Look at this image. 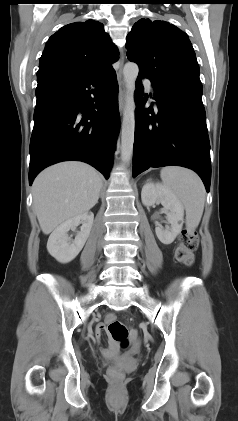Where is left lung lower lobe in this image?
<instances>
[{
  "label": "left lung lower lobe",
  "mask_w": 238,
  "mask_h": 421,
  "mask_svg": "<svg viewBox=\"0 0 238 421\" xmlns=\"http://www.w3.org/2000/svg\"><path fill=\"white\" fill-rule=\"evenodd\" d=\"M143 77L139 74L136 81L139 106L146 103L140 83ZM151 82L158 113L154 114L152 106L135 111L133 177L150 167L178 165L198 173L209 192L210 143L199 76Z\"/></svg>",
  "instance_id": "0a47b994"
}]
</instances>
